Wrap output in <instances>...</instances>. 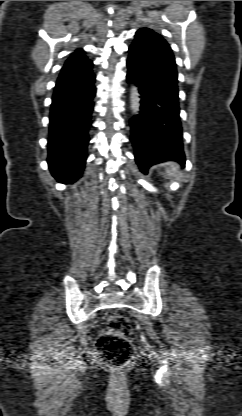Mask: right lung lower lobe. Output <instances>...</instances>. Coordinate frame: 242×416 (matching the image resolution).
I'll list each match as a JSON object with an SVG mask.
<instances>
[{
	"instance_id": "obj_1",
	"label": "right lung lower lobe",
	"mask_w": 242,
	"mask_h": 416,
	"mask_svg": "<svg viewBox=\"0 0 242 416\" xmlns=\"http://www.w3.org/2000/svg\"><path fill=\"white\" fill-rule=\"evenodd\" d=\"M94 81L90 69L79 77L60 74L56 82L49 117L47 162L57 179L74 181L82 176L90 140Z\"/></svg>"
}]
</instances>
